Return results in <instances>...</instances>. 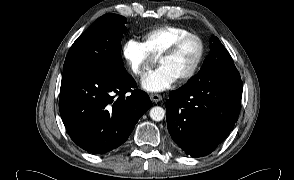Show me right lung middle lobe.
Masks as SVG:
<instances>
[{"instance_id":"1","label":"right lung middle lobe","mask_w":294,"mask_h":180,"mask_svg":"<svg viewBox=\"0 0 294 180\" xmlns=\"http://www.w3.org/2000/svg\"><path fill=\"white\" fill-rule=\"evenodd\" d=\"M126 18L106 14L98 18L71 46L62 78L80 72L126 75L121 57V40Z\"/></svg>"}]
</instances>
